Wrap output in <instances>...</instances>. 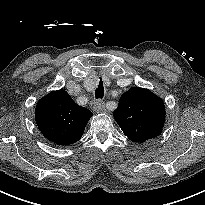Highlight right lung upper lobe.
Listing matches in <instances>:
<instances>
[{"mask_svg": "<svg viewBox=\"0 0 205 205\" xmlns=\"http://www.w3.org/2000/svg\"><path fill=\"white\" fill-rule=\"evenodd\" d=\"M92 115L90 110L77 105L63 89L44 96L35 110L39 130L48 140L58 145L77 142Z\"/></svg>", "mask_w": 205, "mask_h": 205, "instance_id": "1", "label": "right lung upper lobe"}]
</instances>
